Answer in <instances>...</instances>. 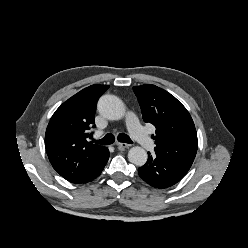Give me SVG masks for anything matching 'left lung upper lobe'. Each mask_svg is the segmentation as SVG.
Masks as SVG:
<instances>
[{
  "label": "left lung upper lobe",
  "instance_id": "obj_1",
  "mask_svg": "<svg viewBox=\"0 0 248 248\" xmlns=\"http://www.w3.org/2000/svg\"><path fill=\"white\" fill-rule=\"evenodd\" d=\"M143 119L156 127L155 154L191 166L198 148L194 122L170 93L151 84L133 87Z\"/></svg>",
  "mask_w": 248,
  "mask_h": 248
}]
</instances>
